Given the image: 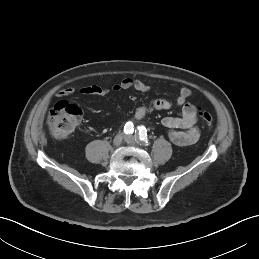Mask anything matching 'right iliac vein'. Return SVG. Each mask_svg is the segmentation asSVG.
I'll list each match as a JSON object with an SVG mask.
<instances>
[{
	"label": "right iliac vein",
	"instance_id": "1",
	"mask_svg": "<svg viewBox=\"0 0 259 259\" xmlns=\"http://www.w3.org/2000/svg\"><path fill=\"white\" fill-rule=\"evenodd\" d=\"M123 138H124V135L121 134V133L118 134V135H116V136L114 137V139H113V145H114L115 147L120 146L121 143H122V141H123Z\"/></svg>",
	"mask_w": 259,
	"mask_h": 259
}]
</instances>
